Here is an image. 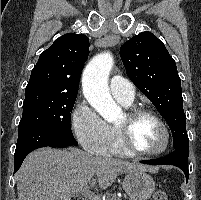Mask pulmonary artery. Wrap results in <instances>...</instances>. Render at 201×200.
I'll use <instances>...</instances> for the list:
<instances>
[{"mask_svg":"<svg viewBox=\"0 0 201 200\" xmlns=\"http://www.w3.org/2000/svg\"><path fill=\"white\" fill-rule=\"evenodd\" d=\"M110 90L117 100L131 103L135 99L134 86L121 76H113L110 79Z\"/></svg>","mask_w":201,"mask_h":200,"instance_id":"pulmonary-artery-1","label":"pulmonary artery"}]
</instances>
